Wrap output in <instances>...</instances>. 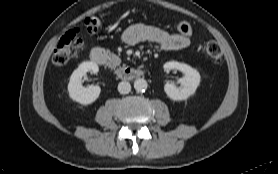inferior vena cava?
<instances>
[{"mask_svg":"<svg viewBox=\"0 0 278 174\" xmlns=\"http://www.w3.org/2000/svg\"><path fill=\"white\" fill-rule=\"evenodd\" d=\"M118 91L121 94H128L131 91V85L127 81H122L118 84Z\"/></svg>","mask_w":278,"mask_h":174,"instance_id":"obj_1","label":"inferior vena cava"}]
</instances>
